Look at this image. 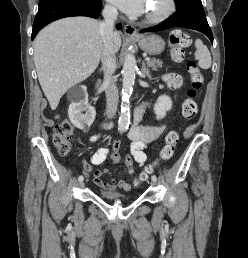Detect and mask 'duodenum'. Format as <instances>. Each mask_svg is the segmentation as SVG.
<instances>
[{"label":"duodenum","instance_id":"obj_1","mask_svg":"<svg viewBox=\"0 0 248 258\" xmlns=\"http://www.w3.org/2000/svg\"><path fill=\"white\" fill-rule=\"evenodd\" d=\"M99 84H100V83H99V81H98V82H97L98 87H99Z\"/></svg>","mask_w":248,"mask_h":258}]
</instances>
